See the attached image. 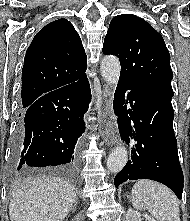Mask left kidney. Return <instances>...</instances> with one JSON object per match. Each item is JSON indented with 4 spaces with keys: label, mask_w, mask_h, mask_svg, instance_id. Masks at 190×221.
Here are the masks:
<instances>
[{
    "label": "left kidney",
    "mask_w": 190,
    "mask_h": 221,
    "mask_svg": "<svg viewBox=\"0 0 190 221\" xmlns=\"http://www.w3.org/2000/svg\"><path fill=\"white\" fill-rule=\"evenodd\" d=\"M147 221H156L151 216L147 214L144 215ZM126 221H141V214L133 209H129L126 213Z\"/></svg>",
    "instance_id": "5707ae66"
}]
</instances>
